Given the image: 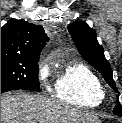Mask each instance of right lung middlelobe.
I'll use <instances>...</instances> for the list:
<instances>
[{
  "instance_id": "obj_1",
  "label": "right lung middle lobe",
  "mask_w": 122,
  "mask_h": 123,
  "mask_svg": "<svg viewBox=\"0 0 122 123\" xmlns=\"http://www.w3.org/2000/svg\"><path fill=\"white\" fill-rule=\"evenodd\" d=\"M39 57L1 55V87L40 91Z\"/></svg>"
}]
</instances>
